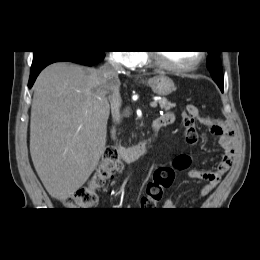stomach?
Segmentation results:
<instances>
[{"mask_svg":"<svg viewBox=\"0 0 260 260\" xmlns=\"http://www.w3.org/2000/svg\"><path fill=\"white\" fill-rule=\"evenodd\" d=\"M147 84L152 91L159 96H168L176 90L175 84L171 78L165 75H158L150 78Z\"/></svg>","mask_w":260,"mask_h":260,"instance_id":"0dacf381","label":"stomach"}]
</instances>
